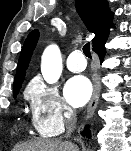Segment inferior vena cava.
Instances as JSON below:
<instances>
[{"mask_svg": "<svg viewBox=\"0 0 131 151\" xmlns=\"http://www.w3.org/2000/svg\"><path fill=\"white\" fill-rule=\"evenodd\" d=\"M76 116L73 114L72 110H69L66 116L65 125H66V136L69 137L70 134L76 127Z\"/></svg>", "mask_w": 131, "mask_h": 151, "instance_id": "602c4592", "label": "inferior vena cava"}]
</instances>
